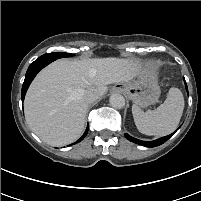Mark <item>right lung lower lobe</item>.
<instances>
[{"label":"right lung lower lobe","instance_id":"right-lung-lower-lobe-1","mask_svg":"<svg viewBox=\"0 0 201 201\" xmlns=\"http://www.w3.org/2000/svg\"><path fill=\"white\" fill-rule=\"evenodd\" d=\"M54 60H56L55 57L43 55V56L39 57L37 60H35L33 63L30 64V66L27 70L26 76H25L23 86H22V101L24 100L26 91H27L30 83L32 82V80L36 76V74L43 67H45L46 65H48L49 63H51ZM87 132H88V127H87L85 133L82 135V137L77 142H80L81 140H83L84 137L87 135ZM73 144H75V143H73Z\"/></svg>","mask_w":201,"mask_h":201}]
</instances>
